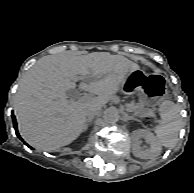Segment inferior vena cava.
Listing matches in <instances>:
<instances>
[{"label": "inferior vena cava", "instance_id": "inferior-vena-cava-1", "mask_svg": "<svg viewBox=\"0 0 194 193\" xmlns=\"http://www.w3.org/2000/svg\"><path fill=\"white\" fill-rule=\"evenodd\" d=\"M99 113V110H88L86 112V116L88 119H92L94 116H96Z\"/></svg>", "mask_w": 194, "mask_h": 193}]
</instances>
